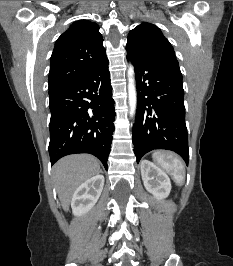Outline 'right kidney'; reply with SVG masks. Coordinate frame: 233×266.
<instances>
[{
	"label": "right kidney",
	"instance_id": "obj_1",
	"mask_svg": "<svg viewBox=\"0 0 233 266\" xmlns=\"http://www.w3.org/2000/svg\"><path fill=\"white\" fill-rule=\"evenodd\" d=\"M104 186V176L97 174L82 183L74 192L71 208L75 216H82L93 208Z\"/></svg>",
	"mask_w": 233,
	"mask_h": 266
}]
</instances>
